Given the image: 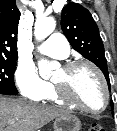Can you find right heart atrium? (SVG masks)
Segmentation results:
<instances>
[{
	"label": "right heart atrium",
	"instance_id": "obj_1",
	"mask_svg": "<svg viewBox=\"0 0 117 131\" xmlns=\"http://www.w3.org/2000/svg\"><path fill=\"white\" fill-rule=\"evenodd\" d=\"M15 82L22 96L31 100H41L50 84L43 80L32 66L20 63L15 72Z\"/></svg>",
	"mask_w": 117,
	"mask_h": 131
}]
</instances>
